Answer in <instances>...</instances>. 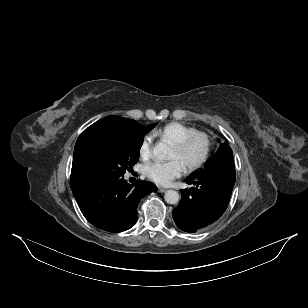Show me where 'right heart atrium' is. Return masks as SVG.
Returning a JSON list of instances; mask_svg holds the SVG:
<instances>
[{
	"label": "right heart atrium",
	"instance_id": "obj_1",
	"mask_svg": "<svg viewBox=\"0 0 308 308\" xmlns=\"http://www.w3.org/2000/svg\"><path fill=\"white\" fill-rule=\"evenodd\" d=\"M151 146H152V139L150 136H145L138 147V154L139 157L147 161L151 157Z\"/></svg>",
	"mask_w": 308,
	"mask_h": 308
}]
</instances>
